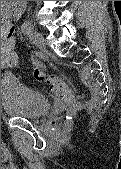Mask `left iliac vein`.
Here are the masks:
<instances>
[{"label": "left iliac vein", "mask_w": 121, "mask_h": 169, "mask_svg": "<svg viewBox=\"0 0 121 169\" xmlns=\"http://www.w3.org/2000/svg\"><path fill=\"white\" fill-rule=\"evenodd\" d=\"M30 38L31 41L33 42V44L39 48L40 50L45 52V40H44V36L38 32V31H34L30 34Z\"/></svg>", "instance_id": "4c4485c4"}]
</instances>
